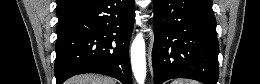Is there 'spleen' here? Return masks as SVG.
Masks as SVG:
<instances>
[{
    "mask_svg": "<svg viewBox=\"0 0 260 84\" xmlns=\"http://www.w3.org/2000/svg\"><path fill=\"white\" fill-rule=\"evenodd\" d=\"M172 84H199V82L189 79H176Z\"/></svg>",
    "mask_w": 260,
    "mask_h": 84,
    "instance_id": "obj_1",
    "label": "spleen"
}]
</instances>
